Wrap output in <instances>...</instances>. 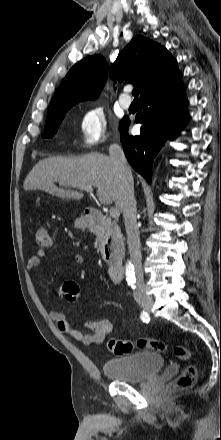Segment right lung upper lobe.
Returning a JSON list of instances; mask_svg holds the SVG:
<instances>
[{
  "mask_svg": "<svg viewBox=\"0 0 221 440\" xmlns=\"http://www.w3.org/2000/svg\"><path fill=\"white\" fill-rule=\"evenodd\" d=\"M119 81L140 88V98L159 92L181 79L177 61L158 43L137 35L118 54L111 66ZM107 77V63L101 55H92L76 63L58 87L48 110L94 99Z\"/></svg>",
  "mask_w": 221,
  "mask_h": 440,
  "instance_id": "1",
  "label": "right lung upper lobe"
}]
</instances>
